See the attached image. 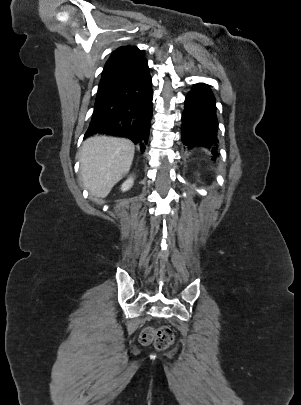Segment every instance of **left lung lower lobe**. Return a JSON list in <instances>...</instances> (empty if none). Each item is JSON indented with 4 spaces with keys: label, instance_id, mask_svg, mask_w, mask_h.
I'll return each mask as SVG.
<instances>
[{
    "label": "left lung lower lobe",
    "instance_id": "1",
    "mask_svg": "<svg viewBox=\"0 0 301 405\" xmlns=\"http://www.w3.org/2000/svg\"><path fill=\"white\" fill-rule=\"evenodd\" d=\"M218 121L214 95L207 84L194 85L182 114V141L188 148L206 147L217 155Z\"/></svg>",
    "mask_w": 301,
    "mask_h": 405
}]
</instances>
